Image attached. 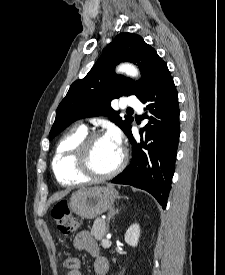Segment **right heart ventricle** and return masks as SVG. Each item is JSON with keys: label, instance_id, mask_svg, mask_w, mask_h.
Returning a JSON list of instances; mask_svg holds the SVG:
<instances>
[{"label": "right heart ventricle", "instance_id": "right-heart-ventricle-1", "mask_svg": "<svg viewBox=\"0 0 225 275\" xmlns=\"http://www.w3.org/2000/svg\"><path fill=\"white\" fill-rule=\"evenodd\" d=\"M87 133V128L80 125L66 133L58 142L52 160V169L60 184L75 185L87 181L74 168L76 146Z\"/></svg>", "mask_w": 225, "mask_h": 275}]
</instances>
